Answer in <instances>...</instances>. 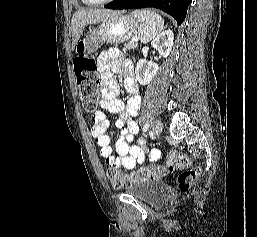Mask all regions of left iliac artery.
<instances>
[{
    "instance_id": "44dca946",
    "label": "left iliac artery",
    "mask_w": 257,
    "mask_h": 237,
    "mask_svg": "<svg viewBox=\"0 0 257 237\" xmlns=\"http://www.w3.org/2000/svg\"><path fill=\"white\" fill-rule=\"evenodd\" d=\"M148 128H149V123H146L144 125L143 131L146 132L148 130Z\"/></svg>"
}]
</instances>
